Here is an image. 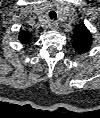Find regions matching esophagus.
Instances as JSON below:
<instances>
[{
    "label": "esophagus",
    "instance_id": "1",
    "mask_svg": "<svg viewBox=\"0 0 100 118\" xmlns=\"http://www.w3.org/2000/svg\"><path fill=\"white\" fill-rule=\"evenodd\" d=\"M49 28L51 30H58L59 29V26L56 22H52L50 25H49Z\"/></svg>",
    "mask_w": 100,
    "mask_h": 118
}]
</instances>
